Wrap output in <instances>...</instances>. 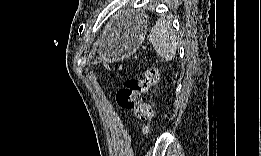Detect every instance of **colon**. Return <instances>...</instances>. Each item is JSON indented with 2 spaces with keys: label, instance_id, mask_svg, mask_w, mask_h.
<instances>
[{
  "label": "colon",
  "instance_id": "1",
  "mask_svg": "<svg viewBox=\"0 0 261 156\" xmlns=\"http://www.w3.org/2000/svg\"><path fill=\"white\" fill-rule=\"evenodd\" d=\"M158 79V67H151L141 76L128 78L115 95L116 103L120 108L134 111L141 122L142 134L149 132L153 117L152 106L142 100V95L155 86Z\"/></svg>",
  "mask_w": 261,
  "mask_h": 156
}]
</instances>
